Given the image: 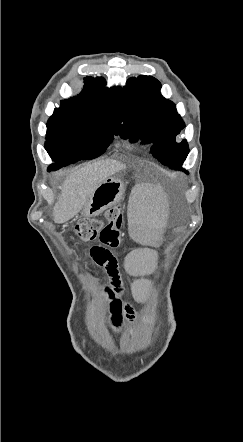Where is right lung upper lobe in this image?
<instances>
[{"instance_id": "1", "label": "right lung upper lobe", "mask_w": 243, "mask_h": 442, "mask_svg": "<svg viewBox=\"0 0 243 442\" xmlns=\"http://www.w3.org/2000/svg\"><path fill=\"white\" fill-rule=\"evenodd\" d=\"M102 77L84 78V89L77 96L61 101L60 109L68 110L78 116L98 119L121 125L120 87L105 89Z\"/></svg>"}]
</instances>
